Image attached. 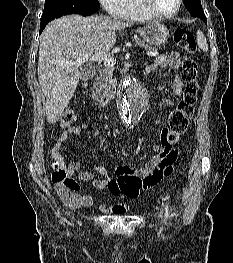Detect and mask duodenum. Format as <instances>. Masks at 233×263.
Segmentation results:
<instances>
[{
    "mask_svg": "<svg viewBox=\"0 0 233 263\" xmlns=\"http://www.w3.org/2000/svg\"><path fill=\"white\" fill-rule=\"evenodd\" d=\"M95 76V71L93 69H89L84 72L83 80L85 82L91 81ZM122 82V79L119 78H108V80H104L97 85L94 90V100H99L102 103L101 105L104 106L108 102H110V96L108 94H112L113 92H117L120 89L119 85H115V83ZM114 85V86H113Z\"/></svg>",
    "mask_w": 233,
    "mask_h": 263,
    "instance_id": "duodenum-1",
    "label": "duodenum"
}]
</instances>
